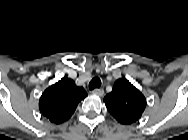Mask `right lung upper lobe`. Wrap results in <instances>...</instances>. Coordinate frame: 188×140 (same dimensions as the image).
<instances>
[{"mask_svg":"<svg viewBox=\"0 0 188 140\" xmlns=\"http://www.w3.org/2000/svg\"><path fill=\"white\" fill-rule=\"evenodd\" d=\"M86 96L84 88L63 77L43 92L39 100V109L51 122L60 124L72 116L78 103Z\"/></svg>","mask_w":188,"mask_h":140,"instance_id":"1","label":"right lung upper lobe"}]
</instances>
